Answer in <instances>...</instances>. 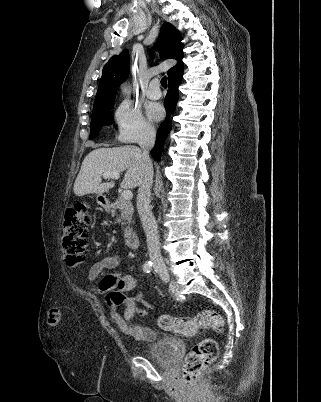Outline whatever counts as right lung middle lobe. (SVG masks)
<instances>
[{
  "label": "right lung middle lobe",
  "mask_w": 321,
  "mask_h": 402,
  "mask_svg": "<svg viewBox=\"0 0 321 402\" xmlns=\"http://www.w3.org/2000/svg\"><path fill=\"white\" fill-rule=\"evenodd\" d=\"M114 107V102L93 108L91 117L90 139L97 136L102 126L110 125L113 123L110 110Z\"/></svg>",
  "instance_id": "dd1d6c3e"
}]
</instances>
